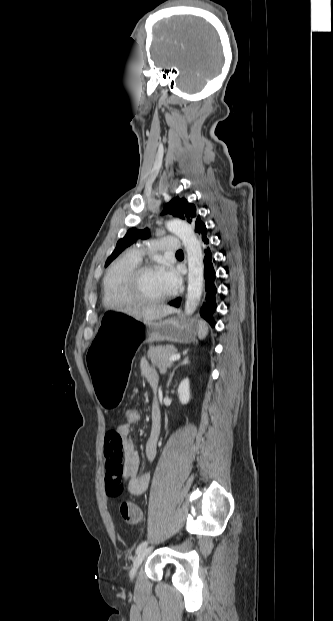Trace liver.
Returning <instances> with one entry per match:
<instances>
[{
    "label": "liver",
    "mask_w": 333,
    "mask_h": 621,
    "mask_svg": "<svg viewBox=\"0 0 333 621\" xmlns=\"http://www.w3.org/2000/svg\"><path fill=\"white\" fill-rule=\"evenodd\" d=\"M176 310L173 307L167 305H155L152 307L145 308L143 310H133L127 312L128 315L132 316L136 320H142L144 322H153L155 320L162 319L169 314L174 313Z\"/></svg>",
    "instance_id": "obj_1"
}]
</instances>
